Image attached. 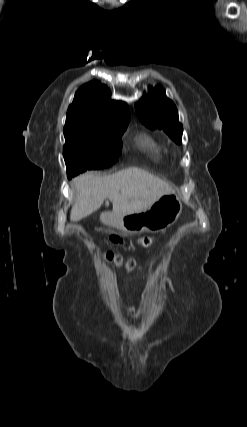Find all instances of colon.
Listing matches in <instances>:
<instances>
[{
  "label": "colon",
  "instance_id": "colon-1",
  "mask_svg": "<svg viewBox=\"0 0 247 427\" xmlns=\"http://www.w3.org/2000/svg\"><path fill=\"white\" fill-rule=\"evenodd\" d=\"M104 257L113 266L117 268H124L128 272H133L138 268V265L135 260H125L121 255L115 254L113 252H106L104 254Z\"/></svg>",
  "mask_w": 247,
  "mask_h": 427
}]
</instances>
